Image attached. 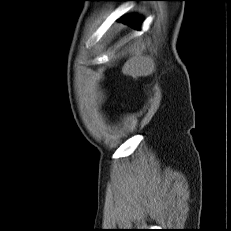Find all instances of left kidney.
<instances>
[{
	"label": "left kidney",
	"instance_id": "1",
	"mask_svg": "<svg viewBox=\"0 0 231 231\" xmlns=\"http://www.w3.org/2000/svg\"><path fill=\"white\" fill-rule=\"evenodd\" d=\"M154 71V62L150 57L137 56L128 60L124 67L123 73L134 78L148 76Z\"/></svg>",
	"mask_w": 231,
	"mask_h": 231
}]
</instances>
